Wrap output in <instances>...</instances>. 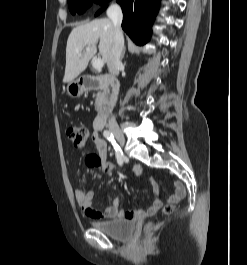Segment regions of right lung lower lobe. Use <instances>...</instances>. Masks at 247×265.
<instances>
[{"instance_id":"obj_1","label":"right lung lower lobe","mask_w":247,"mask_h":265,"mask_svg":"<svg viewBox=\"0 0 247 265\" xmlns=\"http://www.w3.org/2000/svg\"><path fill=\"white\" fill-rule=\"evenodd\" d=\"M122 7V28L137 44L147 43L151 26L159 9V0H116ZM105 8L99 10L100 14Z\"/></svg>"}]
</instances>
